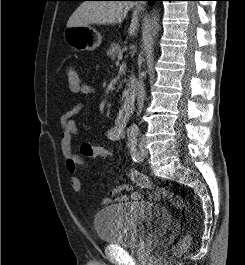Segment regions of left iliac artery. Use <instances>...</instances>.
<instances>
[{
  "label": "left iliac artery",
  "mask_w": 245,
  "mask_h": 265,
  "mask_svg": "<svg viewBox=\"0 0 245 265\" xmlns=\"http://www.w3.org/2000/svg\"><path fill=\"white\" fill-rule=\"evenodd\" d=\"M136 145H137L136 136L134 135V136L129 137L127 146L129 148L131 157H132L133 161L139 162L141 160V156H140V153L138 152V150L136 148Z\"/></svg>",
  "instance_id": "obj_1"
}]
</instances>
